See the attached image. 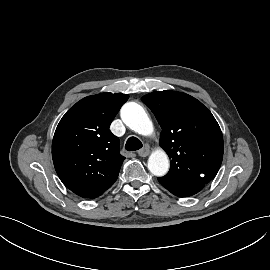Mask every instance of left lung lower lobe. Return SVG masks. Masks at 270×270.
<instances>
[{
  "instance_id": "obj_1",
  "label": "left lung lower lobe",
  "mask_w": 270,
  "mask_h": 270,
  "mask_svg": "<svg viewBox=\"0 0 270 270\" xmlns=\"http://www.w3.org/2000/svg\"><path fill=\"white\" fill-rule=\"evenodd\" d=\"M200 190H193V191H170L172 194L178 197H187L196 194Z\"/></svg>"
}]
</instances>
